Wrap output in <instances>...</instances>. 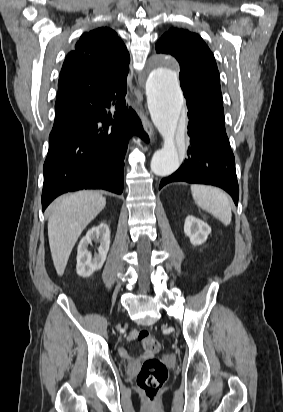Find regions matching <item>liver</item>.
Listing matches in <instances>:
<instances>
[{
    "label": "liver",
    "mask_w": 283,
    "mask_h": 412,
    "mask_svg": "<svg viewBox=\"0 0 283 412\" xmlns=\"http://www.w3.org/2000/svg\"><path fill=\"white\" fill-rule=\"evenodd\" d=\"M105 197L95 191H79L49 207L48 238L54 267L62 276L71 251L86 226L104 209Z\"/></svg>",
    "instance_id": "obj_1"
}]
</instances>
